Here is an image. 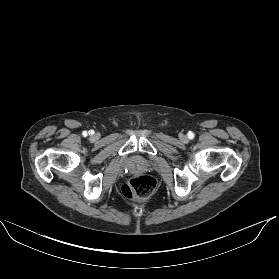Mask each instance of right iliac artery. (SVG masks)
Instances as JSON below:
<instances>
[{
    "mask_svg": "<svg viewBox=\"0 0 279 279\" xmlns=\"http://www.w3.org/2000/svg\"><path fill=\"white\" fill-rule=\"evenodd\" d=\"M83 135H84V136H86V135H87V132H86V131H84V132H83Z\"/></svg>",
    "mask_w": 279,
    "mask_h": 279,
    "instance_id": "obj_1",
    "label": "right iliac artery"
}]
</instances>
